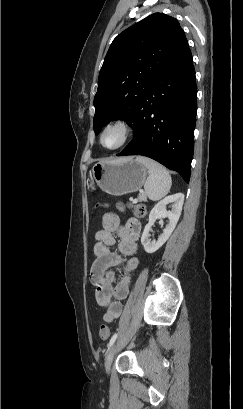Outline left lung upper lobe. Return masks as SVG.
Masks as SVG:
<instances>
[{
	"instance_id": "left-lung-upper-lobe-1",
	"label": "left lung upper lobe",
	"mask_w": 243,
	"mask_h": 409,
	"mask_svg": "<svg viewBox=\"0 0 243 409\" xmlns=\"http://www.w3.org/2000/svg\"><path fill=\"white\" fill-rule=\"evenodd\" d=\"M185 39L177 19L154 13L113 40L94 98L95 134L111 120L131 126L153 79Z\"/></svg>"
}]
</instances>
